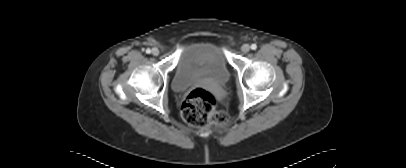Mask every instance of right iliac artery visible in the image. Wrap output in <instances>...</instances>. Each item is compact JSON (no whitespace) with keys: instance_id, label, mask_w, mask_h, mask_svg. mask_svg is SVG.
Here are the masks:
<instances>
[{"instance_id":"right-iliac-artery-1","label":"right iliac artery","mask_w":406,"mask_h":168,"mask_svg":"<svg viewBox=\"0 0 406 168\" xmlns=\"http://www.w3.org/2000/svg\"><path fill=\"white\" fill-rule=\"evenodd\" d=\"M146 53H147V54L151 53V50H150L149 48L146 49Z\"/></svg>"}]
</instances>
